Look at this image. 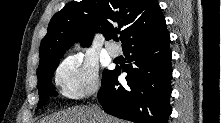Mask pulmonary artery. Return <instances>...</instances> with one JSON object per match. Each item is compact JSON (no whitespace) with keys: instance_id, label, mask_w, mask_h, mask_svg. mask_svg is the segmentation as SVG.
Listing matches in <instances>:
<instances>
[{"instance_id":"pulmonary-artery-1","label":"pulmonary artery","mask_w":221,"mask_h":123,"mask_svg":"<svg viewBox=\"0 0 221 123\" xmlns=\"http://www.w3.org/2000/svg\"><path fill=\"white\" fill-rule=\"evenodd\" d=\"M106 50L108 54L113 58L118 57L120 54V49L114 44L107 45Z\"/></svg>"}]
</instances>
